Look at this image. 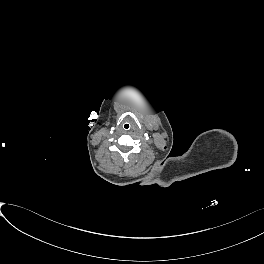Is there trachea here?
<instances>
[{
  "label": "trachea",
  "instance_id": "1",
  "mask_svg": "<svg viewBox=\"0 0 264 264\" xmlns=\"http://www.w3.org/2000/svg\"><path fill=\"white\" fill-rule=\"evenodd\" d=\"M122 128L125 130V131H128L131 129V123L129 122H124L123 125H122Z\"/></svg>",
  "mask_w": 264,
  "mask_h": 264
}]
</instances>
